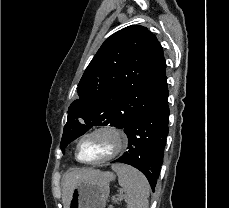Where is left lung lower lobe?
<instances>
[{"label": "left lung lower lobe", "instance_id": "1", "mask_svg": "<svg viewBox=\"0 0 229 208\" xmlns=\"http://www.w3.org/2000/svg\"><path fill=\"white\" fill-rule=\"evenodd\" d=\"M167 98L168 90L124 129L128 137V151L113 161L129 164L140 170L153 191L160 174L169 132Z\"/></svg>", "mask_w": 229, "mask_h": 208}]
</instances>
